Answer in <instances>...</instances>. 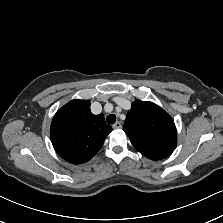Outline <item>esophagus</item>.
Listing matches in <instances>:
<instances>
[{"instance_id":"1","label":"esophagus","mask_w":223,"mask_h":223,"mask_svg":"<svg viewBox=\"0 0 223 223\" xmlns=\"http://www.w3.org/2000/svg\"><path fill=\"white\" fill-rule=\"evenodd\" d=\"M113 129H120L122 127V124L120 122H116L115 124H113Z\"/></svg>"}]
</instances>
